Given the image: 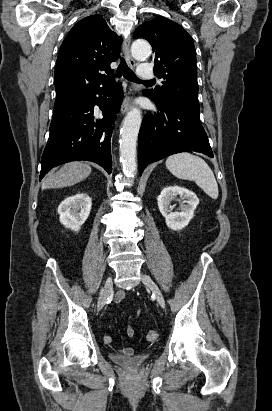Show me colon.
<instances>
[{
    "label": "colon",
    "mask_w": 272,
    "mask_h": 411,
    "mask_svg": "<svg viewBox=\"0 0 272 411\" xmlns=\"http://www.w3.org/2000/svg\"><path fill=\"white\" fill-rule=\"evenodd\" d=\"M159 337V333L156 330H150L148 331L147 335H146V339L149 342H155Z\"/></svg>",
    "instance_id": "5ec220e1"
}]
</instances>
